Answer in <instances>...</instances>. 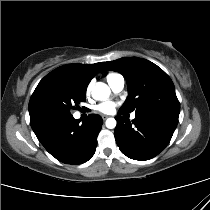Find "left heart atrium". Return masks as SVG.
Instances as JSON below:
<instances>
[{
  "mask_svg": "<svg viewBox=\"0 0 210 210\" xmlns=\"http://www.w3.org/2000/svg\"><path fill=\"white\" fill-rule=\"evenodd\" d=\"M97 112L110 114L115 109V103L111 101L102 102L94 107Z\"/></svg>",
  "mask_w": 210,
  "mask_h": 210,
  "instance_id": "1",
  "label": "left heart atrium"
}]
</instances>
